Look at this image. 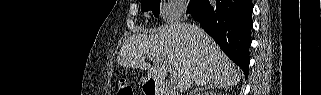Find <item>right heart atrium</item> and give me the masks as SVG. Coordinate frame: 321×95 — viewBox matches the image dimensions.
<instances>
[{
    "instance_id": "d8ad5b80",
    "label": "right heart atrium",
    "mask_w": 321,
    "mask_h": 95,
    "mask_svg": "<svg viewBox=\"0 0 321 95\" xmlns=\"http://www.w3.org/2000/svg\"><path fill=\"white\" fill-rule=\"evenodd\" d=\"M188 2L184 0L166 1L160 8L161 17L166 22H175L180 20L187 12Z\"/></svg>"
}]
</instances>
